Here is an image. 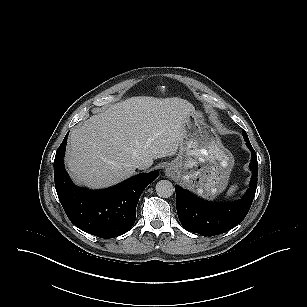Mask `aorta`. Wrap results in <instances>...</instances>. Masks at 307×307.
I'll return each instance as SVG.
<instances>
[{"label": "aorta", "mask_w": 307, "mask_h": 307, "mask_svg": "<svg viewBox=\"0 0 307 307\" xmlns=\"http://www.w3.org/2000/svg\"><path fill=\"white\" fill-rule=\"evenodd\" d=\"M156 193L162 198H168L174 193V186L168 180H161L156 184Z\"/></svg>", "instance_id": "762f6f07"}]
</instances>
